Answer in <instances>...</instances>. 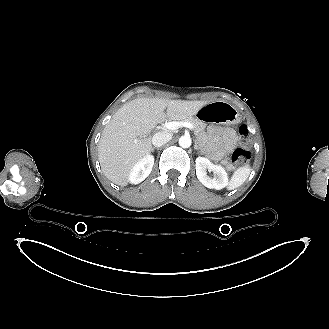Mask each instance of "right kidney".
I'll return each instance as SVG.
<instances>
[{
  "instance_id": "1",
  "label": "right kidney",
  "mask_w": 329,
  "mask_h": 329,
  "mask_svg": "<svg viewBox=\"0 0 329 329\" xmlns=\"http://www.w3.org/2000/svg\"><path fill=\"white\" fill-rule=\"evenodd\" d=\"M154 165V157L147 155L143 157L135 166L132 167L129 173L128 180L132 184L141 183L151 173Z\"/></svg>"
}]
</instances>
